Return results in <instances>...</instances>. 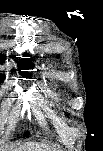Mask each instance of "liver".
Segmentation results:
<instances>
[{
	"mask_svg": "<svg viewBox=\"0 0 103 151\" xmlns=\"http://www.w3.org/2000/svg\"><path fill=\"white\" fill-rule=\"evenodd\" d=\"M17 151H57V150L45 144L29 142L19 147Z\"/></svg>",
	"mask_w": 103,
	"mask_h": 151,
	"instance_id": "liver-1",
	"label": "liver"
}]
</instances>
